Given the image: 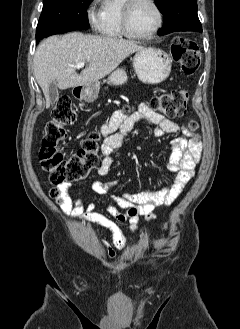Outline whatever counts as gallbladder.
I'll return each instance as SVG.
<instances>
[{"label": "gallbladder", "instance_id": "obj_1", "mask_svg": "<svg viewBox=\"0 0 240 329\" xmlns=\"http://www.w3.org/2000/svg\"><path fill=\"white\" fill-rule=\"evenodd\" d=\"M49 101L54 104L59 99V89L56 82H51L48 89Z\"/></svg>", "mask_w": 240, "mask_h": 329}]
</instances>
